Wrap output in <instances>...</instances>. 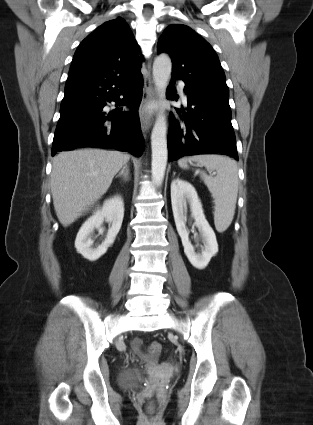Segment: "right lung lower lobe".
Returning <instances> with one entry per match:
<instances>
[{"label":"right lung lower lobe","mask_w":313,"mask_h":425,"mask_svg":"<svg viewBox=\"0 0 313 425\" xmlns=\"http://www.w3.org/2000/svg\"><path fill=\"white\" fill-rule=\"evenodd\" d=\"M142 94L140 68L126 74L107 72L68 78L52 155L74 148L96 147L127 151L139 157L144 144L137 112ZM111 101L133 111L121 112L122 108H116L107 112L106 102Z\"/></svg>","instance_id":"obj_1"}]
</instances>
